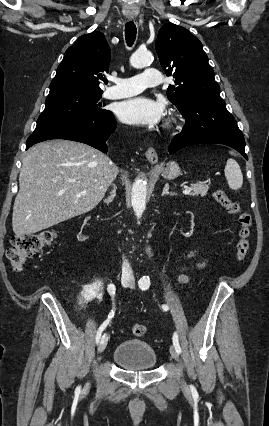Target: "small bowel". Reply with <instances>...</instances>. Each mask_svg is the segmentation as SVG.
I'll use <instances>...</instances> for the list:
<instances>
[{
  "instance_id": "c3829d8e",
  "label": "small bowel",
  "mask_w": 269,
  "mask_h": 426,
  "mask_svg": "<svg viewBox=\"0 0 269 426\" xmlns=\"http://www.w3.org/2000/svg\"><path fill=\"white\" fill-rule=\"evenodd\" d=\"M194 255L195 254L193 252H190L189 254H187L186 259H191L194 257ZM179 279L182 282H187L189 280V276L184 268H181L179 271Z\"/></svg>"
}]
</instances>
